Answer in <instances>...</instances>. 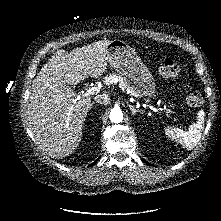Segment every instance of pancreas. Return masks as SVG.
<instances>
[{"instance_id": "1", "label": "pancreas", "mask_w": 221, "mask_h": 221, "mask_svg": "<svg viewBox=\"0 0 221 221\" xmlns=\"http://www.w3.org/2000/svg\"><path fill=\"white\" fill-rule=\"evenodd\" d=\"M116 80L119 81V86H120L121 89H123V90L127 89L128 90L125 81L120 76H118L117 74H114V73L109 74L108 76H106L104 78V83L106 85H111V84H114L116 82ZM131 94H133V93H131Z\"/></svg>"}]
</instances>
